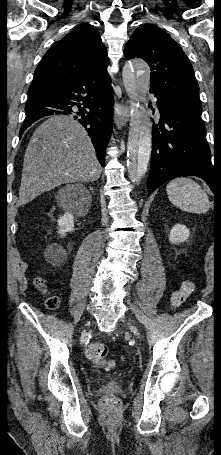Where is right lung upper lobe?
Here are the masks:
<instances>
[{"label":"right lung upper lobe","instance_id":"1","mask_svg":"<svg viewBox=\"0 0 221 455\" xmlns=\"http://www.w3.org/2000/svg\"><path fill=\"white\" fill-rule=\"evenodd\" d=\"M108 64L106 47L97 29L88 23L81 24L46 52L35 70L28 97L43 94L68 78Z\"/></svg>","mask_w":221,"mask_h":455}]
</instances>
